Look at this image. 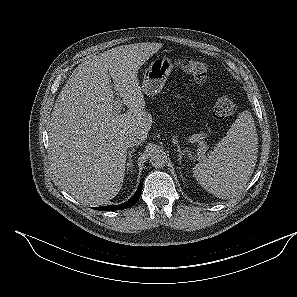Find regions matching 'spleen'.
I'll list each match as a JSON object with an SVG mask.
<instances>
[{
  "instance_id": "spleen-1",
  "label": "spleen",
  "mask_w": 297,
  "mask_h": 297,
  "mask_svg": "<svg viewBox=\"0 0 297 297\" xmlns=\"http://www.w3.org/2000/svg\"><path fill=\"white\" fill-rule=\"evenodd\" d=\"M258 136L251 113L241 112L227 135L193 168V175L209 193L235 197L249 181L257 161Z\"/></svg>"
}]
</instances>
